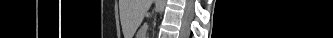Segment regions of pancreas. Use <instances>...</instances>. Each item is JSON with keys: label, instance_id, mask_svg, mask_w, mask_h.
I'll list each match as a JSON object with an SVG mask.
<instances>
[{"label": "pancreas", "instance_id": "1", "mask_svg": "<svg viewBox=\"0 0 333 38\" xmlns=\"http://www.w3.org/2000/svg\"><path fill=\"white\" fill-rule=\"evenodd\" d=\"M142 33H143V28L141 29V31H140V33H139V34L141 35Z\"/></svg>", "mask_w": 333, "mask_h": 38}]
</instances>
